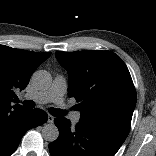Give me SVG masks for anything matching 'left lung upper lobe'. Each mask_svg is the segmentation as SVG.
<instances>
[{"label": "left lung upper lobe", "mask_w": 156, "mask_h": 156, "mask_svg": "<svg viewBox=\"0 0 156 156\" xmlns=\"http://www.w3.org/2000/svg\"><path fill=\"white\" fill-rule=\"evenodd\" d=\"M69 74V97L81 110V123L105 126L127 136L136 91L127 66L110 51L56 52Z\"/></svg>", "instance_id": "obj_1"}]
</instances>
